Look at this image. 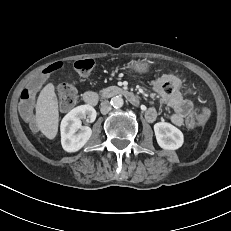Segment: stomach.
I'll return each mask as SVG.
<instances>
[{"mask_svg":"<svg viewBox=\"0 0 231 231\" xmlns=\"http://www.w3.org/2000/svg\"><path fill=\"white\" fill-rule=\"evenodd\" d=\"M138 73H146L149 70V64L145 61H134L128 67Z\"/></svg>","mask_w":231,"mask_h":231,"instance_id":"obj_1","label":"stomach"}]
</instances>
